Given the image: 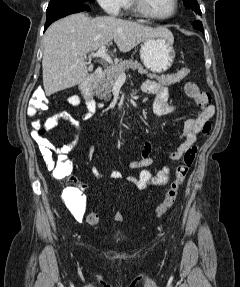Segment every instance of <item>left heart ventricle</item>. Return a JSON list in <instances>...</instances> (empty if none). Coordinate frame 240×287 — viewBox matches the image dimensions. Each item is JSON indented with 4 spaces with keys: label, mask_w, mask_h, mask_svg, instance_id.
Masks as SVG:
<instances>
[{
    "label": "left heart ventricle",
    "mask_w": 240,
    "mask_h": 287,
    "mask_svg": "<svg viewBox=\"0 0 240 287\" xmlns=\"http://www.w3.org/2000/svg\"><path fill=\"white\" fill-rule=\"evenodd\" d=\"M147 9L157 16H165L172 11V0H144Z\"/></svg>",
    "instance_id": "1"
}]
</instances>
